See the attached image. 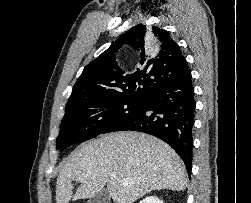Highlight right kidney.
Here are the masks:
<instances>
[{
	"label": "right kidney",
	"instance_id": "obj_1",
	"mask_svg": "<svg viewBox=\"0 0 251 203\" xmlns=\"http://www.w3.org/2000/svg\"><path fill=\"white\" fill-rule=\"evenodd\" d=\"M139 203H163V201L156 196H148L141 200Z\"/></svg>",
	"mask_w": 251,
	"mask_h": 203
}]
</instances>
